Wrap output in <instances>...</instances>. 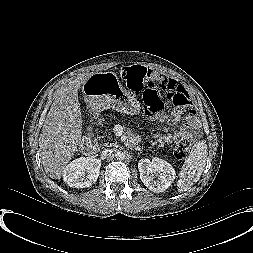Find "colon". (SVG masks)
I'll list each match as a JSON object with an SVG mask.
<instances>
[{"instance_id": "colon-1", "label": "colon", "mask_w": 253, "mask_h": 253, "mask_svg": "<svg viewBox=\"0 0 253 253\" xmlns=\"http://www.w3.org/2000/svg\"><path fill=\"white\" fill-rule=\"evenodd\" d=\"M120 75L129 90L133 92L144 91L145 110L152 116L160 115L164 111L165 105L161 92H164L168 100L176 107L188 109L192 107L188 93L181 86H171L145 67H125L121 70ZM194 142L195 137L192 134L180 136L173 147L174 156L177 159L186 157Z\"/></svg>"}]
</instances>
